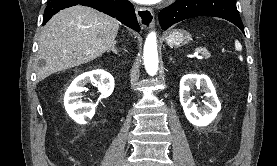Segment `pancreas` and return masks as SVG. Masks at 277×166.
<instances>
[{
	"label": "pancreas",
	"instance_id": "pancreas-1",
	"mask_svg": "<svg viewBox=\"0 0 277 166\" xmlns=\"http://www.w3.org/2000/svg\"><path fill=\"white\" fill-rule=\"evenodd\" d=\"M197 51L201 52L202 54H206V53H209L206 49L204 48H197L196 49ZM210 54V53H209Z\"/></svg>",
	"mask_w": 277,
	"mask_h": 166
}]
</instances>
